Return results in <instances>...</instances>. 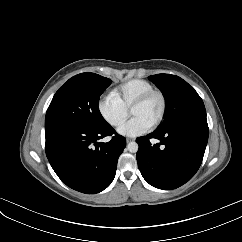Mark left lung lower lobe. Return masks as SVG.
<instances>
[{
	"mask_svg": "<svg viewBox=\"0 0 242 242\" xmlns=\"http://www.w3.org/2000/svg\"><path fill=\"white\" fill-rule=\"evenodd\" d=\"M208 134L206 118H191L137 138L136 157L143 178L164 190L185 184L202 163ZM150 138H156L160 143L151 145ZM160 145L164 147L160 148Z\"/></svg>",
	"mask_w": 242,
	"mask_h": 242,
	"instance_id": "0a47b994",
	"label": "left lung lower lobe"
}]
</instances>
